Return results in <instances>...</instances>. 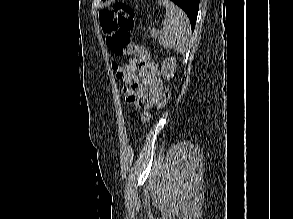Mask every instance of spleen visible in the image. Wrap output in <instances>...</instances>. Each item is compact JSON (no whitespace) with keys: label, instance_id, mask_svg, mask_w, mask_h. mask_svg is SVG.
I'll list each match as a JSON object with an SVG mask.
<instances>
[{"label":"spleen","instance_id":"spleen-1","mask_svg":"<svg viewBox=\"0 0 293 219\" xmlns=\"http://www.w3.org/2000/svg\"><path fill=\"white\" fill-rule=\"evenodd\" d=\"M166 9L164 27L159 36V43L165 48L183 54L189 46L191 27L186 14L169 0H159Z\"/></svg>","mask_w":293,"mask_h":219}]
</instances>
